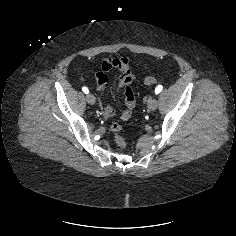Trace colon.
Returning a JSON list of instances; mask_svg holds the SVG:
<instances>
[{
	"label": "colon",
	"instance_id": "obj_1",
	"mask_svg": "<svg viewBox=\"0 0 236 236\" xmlns=\"http://www.w3.org/2000/svg\"><path fill=\"white\" fill-rule=\"evenodd\" d=\"M157 82L156 78L154 77H148L145 79V84L146 85H153ZM111 131L114 135V140L117 144V146L121 149H124L126 147V142L123 137V127L119 123H114L111 126Z\"/></svg>",
	"mask_w": 236,
	"mask_h": 236
}]
</instances>
